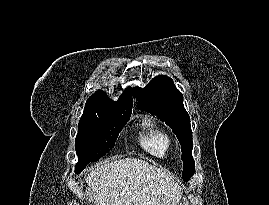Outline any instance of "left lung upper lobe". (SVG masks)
I'll list each match as a JSON object with an SVG mask.
<instances>
[{
  "instance_id": "1",
  "label": "left lung upper lobe",
  "mask_w": 269,
  "mask_h": 205,
  "mask_svg": "<svg viewBox=\"0 0 269 205\" xmlns=\"http://www.w3.org/2000/svg\"><path fill=\"white\" fill-rule=\"evenodd\" d=\"M140 110L156 115L176 134L182 151V178L188 181L195 173V162L192 157V131L190 117L183 105V95L167 76H157L145 87L133 88Z\"/></svg>"
}]
</instances>
